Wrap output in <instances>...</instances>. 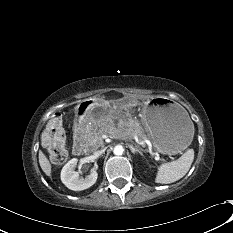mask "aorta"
<instances>
[{
  "label": "aorta",
  "instance_id": "1",
  "mask_svg": "<svg viewBox=\"0 0 233 233\" xmlns=\"http://www.w3.org/2000/svg\"><path fill=\"white\" fill-rule=\"evenodd\" d=\"M124 152V148L122 145H116L114 148H113V153L117 156H120L122 155Z\"/></svg>",
  "mask_w": 233,
  "mask_h": 233
}]
</instances>
